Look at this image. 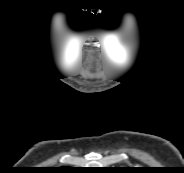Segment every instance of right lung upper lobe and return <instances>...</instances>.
<instances>
[{
  "instance_id": "obj_1",
  "label": "right lung upper lobe",
  "mask_w": 184,
  "mask_h": 173,
  "mask_svg": "<svg viewBox=\"0 0 184 173\" xmlns=\"http://www.w3.org/2000/svg\"><path fill=\"white\" fill-rule=\"evenodd\" d=\"M61 169H62V171H60V173H65V172H67L68 167H61Z\"/></svg>"
}]
</instances>
